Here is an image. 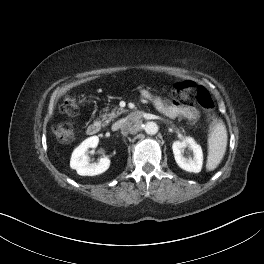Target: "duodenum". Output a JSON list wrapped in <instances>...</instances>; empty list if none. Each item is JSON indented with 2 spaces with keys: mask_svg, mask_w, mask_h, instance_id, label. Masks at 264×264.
Returning a JSON list of instances; mask_svg holds the SVG:
<instances>
[{
  "mask_svg": "<svg viewBox=\"0 0 264 264\" xmlns=\"http://www.w3.org/2000/svg\"><path fill=\"white\" fill-rule=\"evenodd\" d=\"M101 130V124L98 121L92 122L91 124H89V126L87 127V134L94 136L97 135Z\"/></svg>",
  "mask_w": 264,
  "mask_h": 264,
  "instance_id": "duodenum-1",
  "label": "duodenum"
}]
</instances>
